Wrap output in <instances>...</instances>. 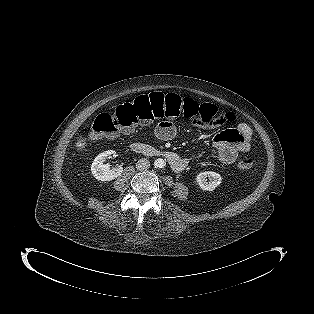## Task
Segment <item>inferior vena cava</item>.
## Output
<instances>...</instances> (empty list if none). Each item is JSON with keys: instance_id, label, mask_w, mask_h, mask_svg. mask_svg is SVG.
Wrapping results in <instances>:
<instances>
[{"instance_id": "inferior-vena-cava-1", "label": "inferior vena cava", "mask_w": 314, "mask_h": 314, "mask_svg": "<svg viewBox=\"0 0 314 314\" xmlns=\"http://www.w3.org/2000/svg\"><path fill=\"white\" fill-rule=\"evenodd\" d=\"M136 168L139 171H143V170H147L150 168V162L148 159L146 158H142L140 160H138V162L136 163Z\"/></svg>"}]
</instances>
